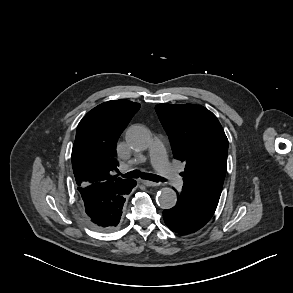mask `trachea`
Masks as SVG:
<instances>
[{"instance_id":"1","label":"trachea","mask_w":293,"mask_h":293,"mask_svg":"<svg viewBox=\"0 0 293 293\" xmlns=\"http://www.w3.org/2000/svg\"><path fill=\"white\" fill-rule=\"evenodd\" d=\"M124 178H143V179H149L152 181H163V179L157 175L149 174V173H142L139 170H133L131 172H128L123 175Z\"/></svg>"}]
</instances>
